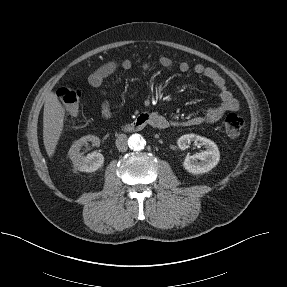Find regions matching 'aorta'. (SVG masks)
<instances>
[{"label": "aorta", "instance_id": "aorta-1", "mask_svg": "<svg viewBox=\"0 0 287 287\" xmlns=\"http://www.w3.org/2000/svg\"><path fill=\"white\" fill-rule=\"evenodd\" d=\"M146 141L140 134H133L128 139L129 148L135 151L144 149Z\"/></svg>", "mask_w": 287, "mask_h": 287}]
</instances>
